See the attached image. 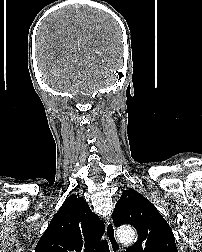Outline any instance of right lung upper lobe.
Returning <instances> with one entry per match:
<instances>
[{
	"label": "right lung upper lobe",
	"mask_w": 202,
	"mask_h": 252,
	"mask_svg": "<svg viewBox=\"0 0 202 252\" xmlns=\"http://www.w3.org/2000/svg\"><path fill=\"white\" fill-rule=\"evenodd\" d=\"M104 230L87 202L72 195L52 218L35 252H93Z\"/></svg>",
	"instance_id": "1"
}]
</instances>
